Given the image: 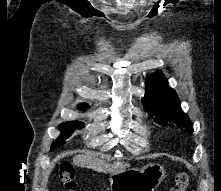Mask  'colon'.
Segmentation results:
<instances>
[{"mask_svg": "<svg viewBox=\"0 0 221 191\" xmlns=\"http://www.w3.org/2000/svg\"><path fill=\"white\" fill-rule=\"evenodd\" d=\"M59 180L65 191H81L75 180V172L71 163L64 162L59 170ZM189 187V177L185 174H179L176 177L175 184L170 191H187Z\"/></svg>", "mask_w": 221, "mask_h": 191, "instance_id": "1", "label": "colon"}]
</instances>
